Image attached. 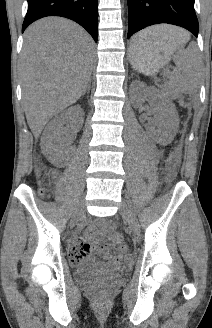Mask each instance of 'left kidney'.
I'll list each match as a JSON object with an SVG mask.
<instances>
[{
  "instance_id": "left-kidney-1",
  "label": "left kidney",
  "mask_w": 212,
  "mask_h": 328,
  "mask_svg": "<svg viewBox=\"0 0 212 328\" xmlns=\"http://www.w3.org/2000/svg\"><path fill=\"white\" fill-rule=\"evenodd\" d=\"M133 85L137 88V96L134 100V104L139 106L148 98L155 112L152 123L158 126V129L154 130L156 141L158 143L171 142L179 125L178 113L175 105L154 87H147L144 83L139 81L134 82Z\"/></svg>"
}]
</instances>
